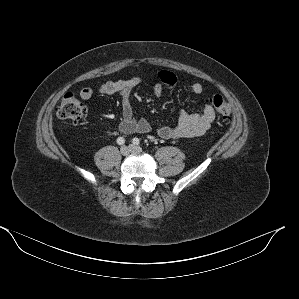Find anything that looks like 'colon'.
<instances>
[{
    "label": "colon",
    "instance_id": "5ec220e1",
    "mask_svg": "<svg viewBox=\"0 0 299 299\" xmlns=\"http://www.w3.org/2000/svg\"><path fill=\"white\" fill-rule=\"evenodd\" d=\"M212 104L225 124H230L231 106L221 95L212 98ZM87 107L74 94H66L62 99L58 109L57 116L61 119L70 120L77 123L83 120L87 115Z\"/></svg>",
    "mask_w": 299,
    "mask_h": 299
}]
</instances>
